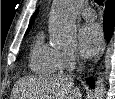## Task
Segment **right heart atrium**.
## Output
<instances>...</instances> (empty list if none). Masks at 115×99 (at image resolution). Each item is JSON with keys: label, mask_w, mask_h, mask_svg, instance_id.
Returning <instances> with one entry per match:
<instances>
[{"label": "right heart atrium", "mask_w": 115, "mask_h": 99, "mask_svg": "<svg viewBox=\"0 0 115 99\" xmlns=\"http://www.w3.org/2000/svg\"><path fill=\"white\" fill-rule=\"evenodd\" d=\"M59 62L61 70H72L78 62V54L75 51H60Z\"/></svg>", "instance_id": "right-heart-atrium-1"}]
</instances>
